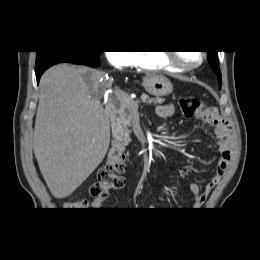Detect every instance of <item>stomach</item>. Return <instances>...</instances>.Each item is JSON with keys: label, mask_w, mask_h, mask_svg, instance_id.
<instances>
[{"label": "stomach", "mask_w": 260, "mask_h": 260, "mask_svg": "<svg viewBox=\"0 0 260 260\" xmlns=\"http://www.w3.org/2000/svg\"><path fill=\"white\" fill-rule=\"evenodd\" d=\"M142 86L151 95L156 97L167 96L173 92L172 83L165 76H146L143 78Z\"/></svg>", "instance_id": "0dacf381"}]
</instances>
